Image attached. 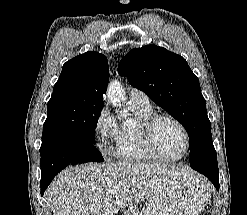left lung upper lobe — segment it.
<instances>
[{"label":"left lung upper lobe","instance_id":"obj_1","mask_svg":"<svg viewBox=\"0 0 247 215\" xmlns=\"http://www.w3.org/2000/svg\"><path fill=\"white\" fill-rule=\"evenodd\" d=\"M118 72L184 126L190 153L204 144H213L199 80L183 57L148 45L131 50L120 61Z\"/></svg>","mask_w":247,"mask_h":215}]
</instances>
